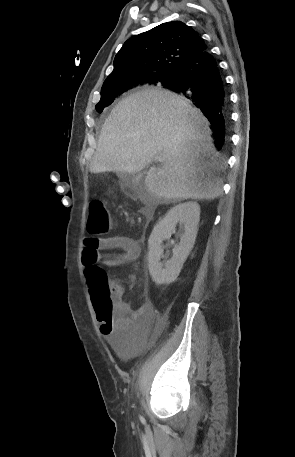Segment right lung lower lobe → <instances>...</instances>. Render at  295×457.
<instances>
[{"mask_svg":"<svg viewBox=\"0 0 295 457\" xmlns=\"http://www.w3.org/2000/svg\"><path fill=\"white\" fill-rule=\"evenodd\" d=\"M166 88L195 102L211 123L215 147L224 151L228 140L229 100L215 58L207 50L194 56L178 70L175 80Z\"/></svg>","mask_w":295,"mask_h":457,"instance_id":"right-lung-lower-lobe-1","label":"right lung lower lobe"}]
</instances>
